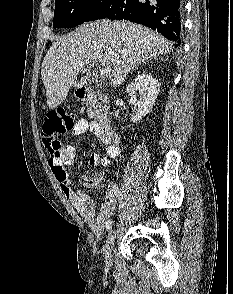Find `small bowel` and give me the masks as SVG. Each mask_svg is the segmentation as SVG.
I'll return each mask as SVG.
<instances>
[{"label": "small bowel", "mask_w": 233, "mask_h": 294, "mask_svg": "<svg viewBox=\"0 0 233 294\" xmlns=\"http://www.w3.org/2000/svg\"><path fill=\"white\" fill-rule=\"evenodd\" d=\"M90 133L96 141L106 146V155L92 153L89 157L91 166L109 167L113 159L120 153V147L117 136L110 138L104 134L101 126L96 121L79 119L75 122L74 127L68 132L69 135H82ZM77 157V150L74 146H66L59 157H51L48 161L51 172L59 183L62 192L68 198L73 207L81 215L84 221L95 232H101L104 225L114 212L119 196L120 188L116 183H110L106 187L105 197L101 208L96 213L95 203L85 192L76 188L67 173V167L71 166ZM105 179V175L99 172L95 175V186L100 187Z\"/></svg>", "instance_id": "c3829d8e"}]
</instances>
